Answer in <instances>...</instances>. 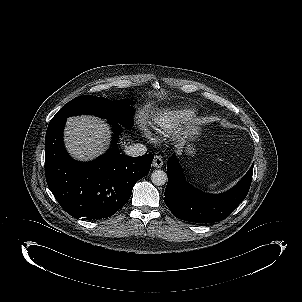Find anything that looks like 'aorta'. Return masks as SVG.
I'll return each mask as SVG.
<instances>
[{
    "instance_id": "762f6f07",
    "label": "aorta",
    "mask_w": 302,
    "mask_h": 302,
    "mask_svg": "<svg viewBox=\"0 0 302 302\" xmlns=\"http://www.w3.org/2000/svg\"><path fill=\"white\" fill-rule=\"evenodd\" d=\"M168 180L167 173L163 170H155L151 174V181L156 186L164 185Z\"/></svg>"
}]
</instances>
